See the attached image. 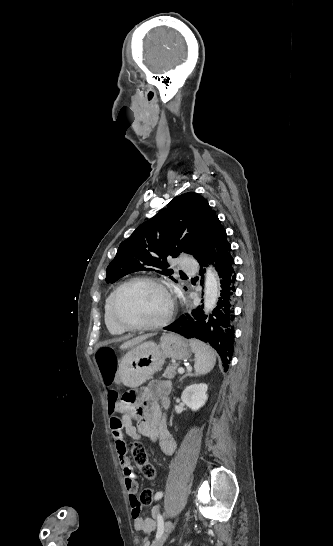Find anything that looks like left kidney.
<instances>
[{
  "mask_svg": "<svg viewBox=\"0 0 333 546\" xmlns=\"http://www.w3.org/2000/svg\"><path fill=\"white\" fill-rule=\"evenodd\" d=\"M208 386L206 384H193L182 393L181 399L187 407L193 411L199 410L206 402Z\"/></svg>",
  "mask_w": 333,
  "mask_h": 546,
  "instance_id": "5707ae66",
  "label": "left kidney"
}]
</instances>
